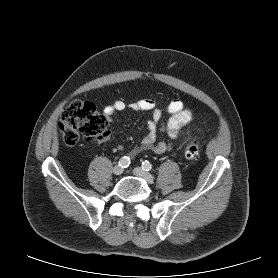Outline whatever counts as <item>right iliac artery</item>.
Listing matches in <instances>:
<instances>
[{"label": "right iliac artery", "instance_id": "obj_1", "mask_svg": "<svg viewBox=\"0 0 278 278\" xmlns=\"http://www.w3.org/2000/svg\"><path fill=\"white\" fill-rule=\"evenodd\" d=\"M129 164H130V158L127 156H124L119 160V166H121L122 168L128 167Z\"/></svg>", "mask_w": 278, "mask_h": 278}]
</instances>
